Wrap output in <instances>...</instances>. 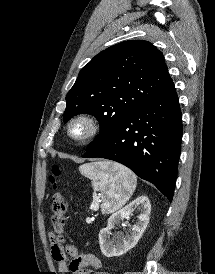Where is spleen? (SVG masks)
I'll return each instance as SVG.
<instances>
[{"label": "spleen", "mask_w": 215, "mask_h": 274, "mask_svg": "<svg viewBox=\"0 0 215 274\" xmlns=\"http://www.w3.org/2000/svg\"><path fill=\"white\" fill-rule=\"evenodd\" d=\"M82 175L92 180L94 191H98L101 210L113 213L120 209L136 188V176L126 167L108 162L83 164L79 167Z\"/></svg>", "instance_id": "3e777b00"}]
</instances>
